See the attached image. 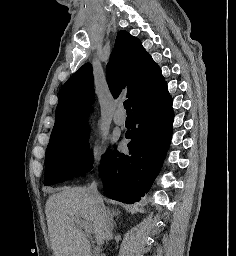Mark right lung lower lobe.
I'll list each match as a JSON object with an SVG mask.
<instances>
[{
  "mask_svg": "<svg viewBox=\"0 0 236 256\" xmlns=\"http://www.w3.org/2000/svg\"><path fill=\"white\" fill-rule=\"evenodd\" d=\"M132 108L134 125L126 132L129 153L109 151L99 166L105 193L129 204L148 192L171 141L173 109L166 82Z\"/></svg>",
  "mask_w": 236,
  "mask_h": 256,
  "instance_id": "right-lung-lower-lobe-1",
  "label": "right lung lower lobe"
}]
</instances>
